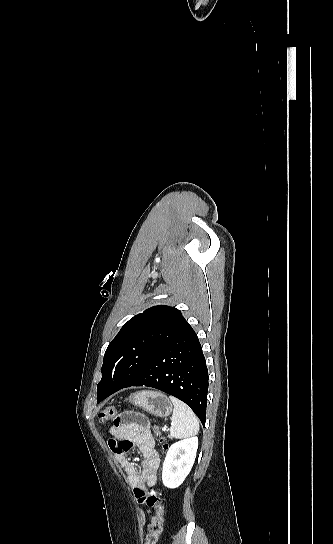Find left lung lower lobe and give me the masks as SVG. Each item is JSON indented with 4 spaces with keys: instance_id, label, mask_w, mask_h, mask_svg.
Returning <instances> with one entry per match:
<instances>
[{
    "instance_id": "0a47b994",
    "label": "left lung lower lobe",
    "mask_w": 333,
    "mask_h": 544,
    "mask_svg": "<svg viewBox=\"0 0 333 544\" xmlns=\"http://www.w3.org/2000/svg\"><path fill=\"white\" fill-rule=\"evenodd\" d=\"M130 386L153 387L182 400L205 426L208 370L199 339L187 321L122 388ZM117 391L98 393L97 402Z\"/></svg>"
}]
</instances>
